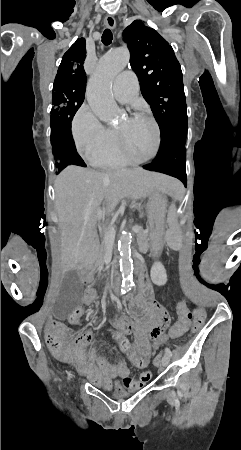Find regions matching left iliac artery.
I'll list each match as a JSON object with an SVG mask.
<instances>
[{"instance_id": "44dca946", "label": "left iliac artery", "mask_w": 241, "mask_h": 450, "mask_svg": "<svg viewBox=\"0 0 241 450\" xmlns=\"http://www.w3.org/2000/svg\"><path fill=\"white\" fill-rule=\"evenodd\" d=\"M165 352L169 357L172 356L171 350L168 347L165 348Z\"/></svg>"}]
</instances>
